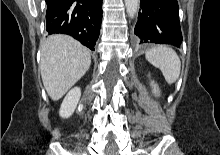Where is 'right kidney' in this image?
I'll return each mask as SVG.
<instances>
[{
  "mask_svg": "<svg viewBox=\"0 0 220 155\" xmlns=\"http://www.w3.org/2000/svg\"><path fill=\"white\" fill-rule=\"evenodd\" d=\"M80 96L81 89L79 87H75L68 92L61 104L59 111V115L62 118H68L73 114L80 100Z\"/></svg>",
  "mask_w": 220,
  "mask_h": 155,
  "instance_id": "right-kidney-1",
  "label": "right kidney"
}]
</instances>
